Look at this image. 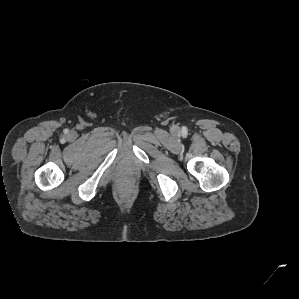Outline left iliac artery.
I'll return each instance as SVG.
<instances>
[{
  "label": "left iliac artery",
  "mask_w": 299,
  "mask_h": 299,
  "mask_svg": "<svg viewBox=\"0 0 299 299\" xmlns=\"http://www.w3.org/2000/svg\"><path fill=\"white\" fill-rule=\"evenodd\" d=\"M183 132L186 133L187 131H186V130H183Z\"/></svg>",
  "instance_id": "44dca946"
}]
</instances>
